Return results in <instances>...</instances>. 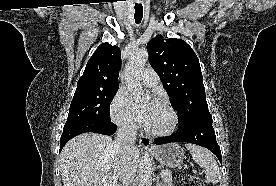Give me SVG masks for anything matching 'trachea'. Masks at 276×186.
Instances as JSON below:
<instances>
[{
	"instance_id": "3493384b",
	"label": "trachea",
	"mask_w": 276,
	"mask_h": 186,
	"mask_svg": "<svg viewBox=\"0 0 276 186\" xmlns=\"http://www.w3.org/2000/svg\"><path fill=\"white\" fill-rule=\"evenodd\" d=\"M136 24H139L143 18V6L142 4H135V14H134Z\"/></svg>"
}]
</instances>
